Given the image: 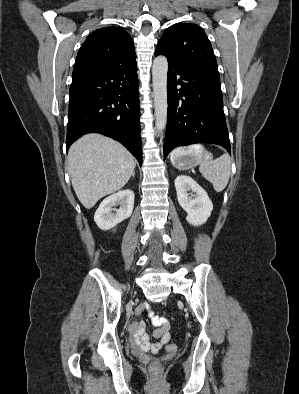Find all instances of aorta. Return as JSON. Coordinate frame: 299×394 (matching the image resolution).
<instances>
[{
    "mask_svg": "<svg viewBox=\"0 0 299 394\" xmlns=\"http://www.w3.org/2000/svg\"><path fill=\"white\" fill-rule=\"evenodd\" d=\"M167 72V58L163 55L157 56L153 61L152 77L156 119L155 127L158 131L164 130L167 122Z\"/></svg>",
    "mask_w": 299,
    "mask_h": 394,
    "instance_id": "762f6f07",
    "label": "aorta"
}]
</instances>
